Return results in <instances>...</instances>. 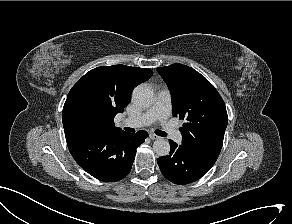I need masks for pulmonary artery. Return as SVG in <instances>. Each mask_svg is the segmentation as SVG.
<instances>
[{
    "instance_id": "obj_1",
    "label": "pulmonary artery",
    "mask_w": 292,
    "mask_h": 224,
    "mask_svg": "<svg viewBox=\"0 0 292 224\" xmlns=\"http://www.w3.org/2000/svg\"><path fill=\"white\" fill-rule=\"evenodd\" d=\"M171 107L172 97L170 92L168 90H161L158 92L153 105L146 112L137 117L124 118L122 124L128 127L139 128L159 121L173 140H180V133L168 122Z\"/></svg>"
}]
</instances>
